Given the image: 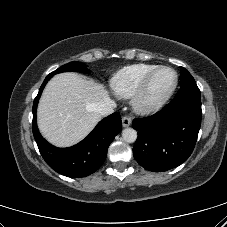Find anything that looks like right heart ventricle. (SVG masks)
Segmentation results:
<instances>
[{
  "mask_svg": "<svg viewBox=\"0 0 227 227\" xmlns=\"http://www.w3.org/2000/svg\"><path fill=\"white\" fill-rule=\"evenodd\" d=\"M155 64H133L118 70L110 79V88L120 98H130L145 77L156 69Z\"/></svg>",
  "mask_w": 227,
  "mask_h": 227,
  "instance_id": "right-heart-ventricle-1",
  "label": "right heart ventricle"
}]
</instances>
